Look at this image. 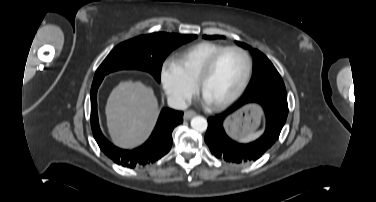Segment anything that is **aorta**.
Listing matches in <instances>:
<instances>
[{"mask_svg":"<svg viewBox=\"0 0 376 202\" xmlns=\"http://www.w3.org/2000/svg\"><path fill=\"white\" fill-rule=\"evenodd\" d=\"M207 126V120L202 116H195L191 120V127L197 132L206 131Z\"/></svg>","mask_w":376,"mask_h":202,"instance_id":"1","label":"aorta"}]
</instances>
